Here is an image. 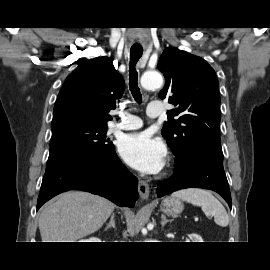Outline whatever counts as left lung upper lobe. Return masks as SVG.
Instances as JSON below:
<instances>
[{
  "mask_svg": "<svg viewBox=\"0 0 270 270\" xmlns=\"http://www.w3.org/2000/svg\"><path fill=\"white\" fill-rule=\"evenodd\" d=\"M166 83L159 93L176 106L169 110L162 135L176 157L193 147L222 151L219 82L213 68L202 58L167 48L158 62Z\"/></svg>",
  "mask_w": 270,
  "mask_h": 270,
  "instance_id": "left-lung-upper-lobe-1",
  "label": "left lung upper lobe"
}]
</instances>
